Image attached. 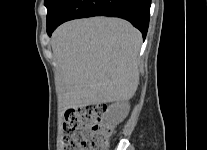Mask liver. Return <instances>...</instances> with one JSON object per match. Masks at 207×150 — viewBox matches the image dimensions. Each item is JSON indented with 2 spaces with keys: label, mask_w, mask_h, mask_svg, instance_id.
<instances>
[{
  "label": "liver",
  "mask_w": 207,
  "mask_h": 150,
  "mask_svg": "<svg viewBox=\"0 0 207 150\" xmlns=\"http://www.w3.org/2000/svg\"><path fill=\"white\" fill-rule=\"evenodd\" d=\"M141 43V33L119 18L73 20L58 27L51 45L64 109L132 98L139 84Z\"/></svg>",
  "instance_id": "liver-1"
}]
</instances>
